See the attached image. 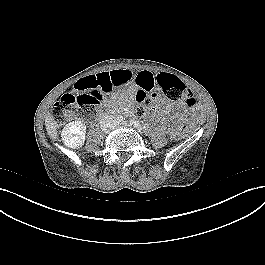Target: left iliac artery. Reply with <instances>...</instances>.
<instances>
[{
    "label": "left iliac artery",
    "mask_w": 265,
    "mask_h": 265,
    "mask_svg": "<svg viewBox=\"0 0 265 265\" xmlns=\"http://www.w3.org/2000/svg\"><path fill=\"white\" fill-rule=\"evenodd\" d=\"M130 124L133 125L134 127H136L139 131L142 130V125L139 123V121L131 120Z\"/></svg>",
    "instance_id": "44dca946"
}]
</instances>
